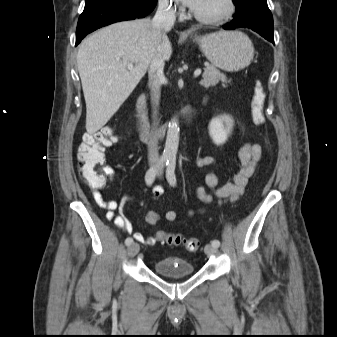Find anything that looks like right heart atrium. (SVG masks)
<instances>
[{"label":"right heart atrium","mask_w":337,"mask_h":337,"mask_svg":"<svg viewBox=\"0 0 337 337\" xmlns=\"http://www.w3.org/2000/svg\"><path fill=\"white\" fill-rule=\"evenodd\" d=\"M159 5L171 15H176L180 12V7L176 0H159Z\"/></svg>","instance_id":"1"}]
</instances>
